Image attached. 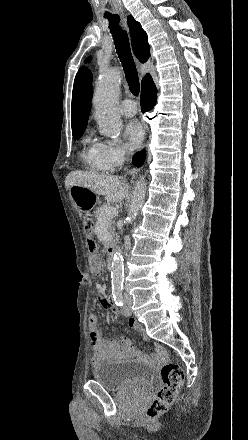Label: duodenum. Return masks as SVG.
<instances>
[{
	"label": "duodenum",
	"instance_id": "1",
	"mask_svg": "<svg viewBox=\"0 0 248 440\" xmlns=\"http://www.w3.org/2000/svg\"><path fill=\"white\" fill-rule=\"evenodd\" d=\"M116 252V247L114 244H109L107 247V257L109 261H112L114 254Z\"/></svg>",
	"mask_w": 248,
	"mask_h": 440
}]
</instances>
